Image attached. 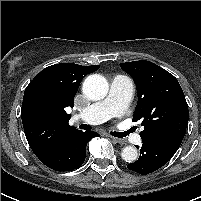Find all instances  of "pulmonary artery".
<instances>
[{"mask_svg":"<svg viewBox=\"0 0 201 201\" xmlns=\"http://www.w3.org/2000/svg\"><path fill=\"white\" fill-rule=\"evenodd\" d=\"M132 80L125 75H116L111 79L107 97L97 102L79 114L73 116V120L83 121L95 125L103 123L110 118L121 116L129 105L133 96ZM139 135L132 137L133 142H140Z\"/></svg>","mask_w":201,"mask_h":201,"instance_id":"obj_1","label":"pulmonary artery"}]
</instances>
